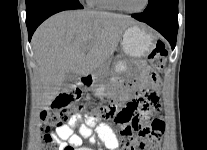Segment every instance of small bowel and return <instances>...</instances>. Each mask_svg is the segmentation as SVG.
<instances>
[{"label": "small bowel", "mask_w": 207, "mask_h": 150, "mask_svg": "<svg viewBox=\"0 0 207 150\" xmlns=\"http://www.w3.org/2000/svg\"><path fill=\"white\" fill-rule=\"evenodd\" d=\"M147 81L149 82L148 75ZM114 99L121 103L127 101L128 97L126 94H120L114 96ZM128 102H130V100ZM131 108L134 109V107ZM80 119L81 117L78 114L71 115L66 124L57 127L56 130L49 133L48 136L57 139L63 146H70L72 150H93L83 146V139H87L90 143H95L97 141L108 150H118V136L109 124L99 123L95 125L93 119H88L86 122L82 123ZM75 130H77L78 133H74Z\"/></svg>", "instance_id": "1"}]
</instances>
